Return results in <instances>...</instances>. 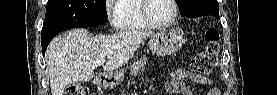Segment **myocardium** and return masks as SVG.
Masks as SVG:
<instances>
[{"label":"myocardium","mask_w":277,"mask_h":95,"mask_svg":"<svg viewBox=\"0 0 277 95\" xmlns=\"http://www.w3.org/2000/svg\"><path fill=\"white\" fill-rule=\"evenodd\" d=\"M173 5V15L170 20L164 22V23H157L154 21L148 14V5L150 0H144L142 5V15L146 22L149 24V26L153 28H168L172 26L178 16V5L176 0H170Z\"/></svg>","instance_id":"myocardium-1"}]
</instances>
